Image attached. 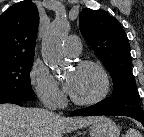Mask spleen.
<instances>
[{"instance_id":"spleen-1","label":"spleen","mask_w":144,"mask_h":137,"mask_svg":"<svg viewBox=\"0 0 144 137\" xmlns=\"http://www.w3.org/2000/svg\"><path fill=\"white\" fill-rule=\"evenodd\" d=\"M126 137H142L141 133L139 131H137L136 129H132L130 128L127 131V135Z\"/></svg>"}]
</instances>
